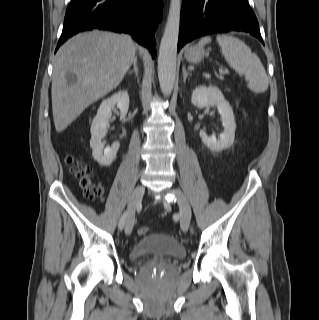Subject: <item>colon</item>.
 Returning a JSON list of instances; mask_svg holds the SVG:
<instances>
[{"label": "colon", "instance_id": "colon-1", "mask_svg": "<svg viewBox=\"0 0 319 320\" xmlns=\"http://www.w3.org/2000/svg\"><path fill=\"white\" fill-rule=\"evenodd\" d=\"M67 163L71 165L75 176L80 181L85 197L91 201H100L103 197V190L100 185L93 182L92 168L75 157H69ZM148 231L149 229L144 226L138 228L139 235H146Z\"/></svg>", "mask_w": 319, "mask_h": 320}]
</instances>
